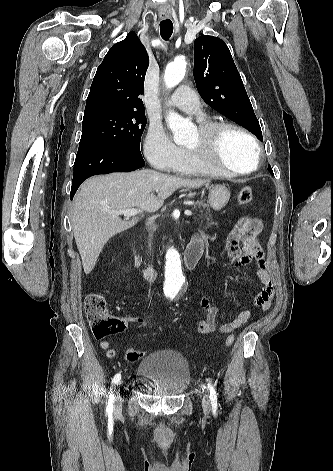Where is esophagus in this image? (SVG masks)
Listing matches in <instances>:
<instances>
[{"instance_id": "1", "label": "esophagus", "mask_w": 333, "mask_h": 471, "mask_svg": "<svg viewBox=\"0 0 333 471\" xmlns=\"http://www.w3.org/2000/svg\"><path fill=\"white\" fill-rule=\"evenodd\" d=\"M161 19H166V16H161Z\"/></svg>"}]
</instances>
